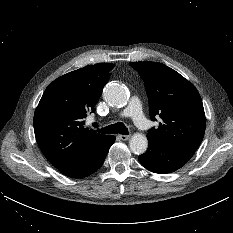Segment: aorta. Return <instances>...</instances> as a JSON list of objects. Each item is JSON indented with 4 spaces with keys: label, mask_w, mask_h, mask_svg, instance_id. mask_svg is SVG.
I'll use <instances>...</instances> for the list:
<instances>
[{
    "label": "aorta",
    "mask_w": 233,
    "mask_h": 233,
    "mask_svg": "<svg viewBox=\"0 0 233 233\" xmlns=\"http://www.w3.org/2000/svg\"><path fill=\"white\" fill-rule=\"evenodd\" d=\"M103 98L112 106L122 107L127 104L128 93L123 85L109 82L104 87ZM129 147L134 154L140 155L145 153L148 147L147 137L141 133L133 134L129 140Z\"/></svg>",
    "instance_id": "obj_1"
}]
</instances>
